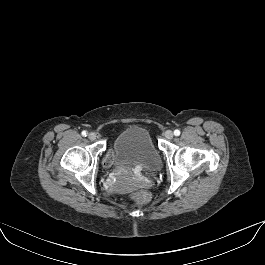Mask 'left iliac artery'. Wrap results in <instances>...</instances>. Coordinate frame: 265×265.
Wrapping results in <instances>:
<instances>
[{"mask_svg":"<svg viewBox=\"0 0 265 265\" xmlns=\"http://www.w3.org/2000/svg\"><path fill=\"white\" fill-rule=\"evenodd\" d=\"M174 135L175 136H179L180 135V131L178 129L174 130Z\"/></svg>","mask_w":265,"mask_h":265,"instance_id":"left-iliac-artery-1","label":"left iliac artery"}]
</instances>
